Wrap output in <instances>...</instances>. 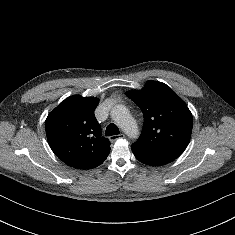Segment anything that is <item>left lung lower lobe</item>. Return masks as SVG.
Returning a JSON list of instances; mask_svg holds the SVG:
<instances>
[{
  "label": "left lung lower lobe",
  "instance_id": "1",
  "mask_svg": "<svg viewBox=\"0 0 235 235\" xmlns=\"http://www.w3.org/2000/svg\"><path fill=\"white\" fill-rule=\"evenodd\" d=\"M135 157L142 163L151 166H161L170 163L175 160V158L167 155H159L141 151L139 149L131 147Z\"/></svg>",
  "mask_w": 235,
  "mask_h": 235
}]
</instances>
